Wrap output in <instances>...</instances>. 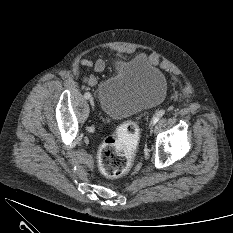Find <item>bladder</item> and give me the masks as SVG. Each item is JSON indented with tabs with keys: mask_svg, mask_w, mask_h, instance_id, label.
<instances>
[{
	"mask_svg": "<svg viewBox=\"0 0 233 233\" xmlns=\"http://www.w3.org/2000/svg\"><path fill=\"white\" fill-rule=\"evenodd\" d=\"M166 94L165 75L142 55L119 62L116 73L97 88L101 110L113 119H125L152 108Z\"/></svg>",
	"mask_w": 233,
	"mask_h": 233,
	"instance_id": "obj_1",
	"label": "bladder"
}]
</instances>
